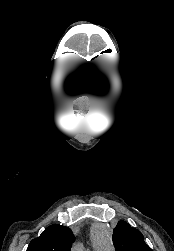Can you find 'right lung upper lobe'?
<instances>
[{
	"label": "right lung upper lobe",
	"mask_w": 174,
	"mask_h": 251,
	"mask_svg": "<svg viewBox=\"0 0 174 251\" xmlns=\"http://www.w3.org/2000/svg\"><path fill=\"white\" fill-rule=\"evenodd\" d=\"M74 241L72 231L62 225H51L33 239L27 251H70Z\"/></svg>",
	"instance_id": "1"
}]
</instances>
